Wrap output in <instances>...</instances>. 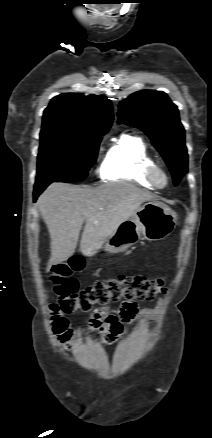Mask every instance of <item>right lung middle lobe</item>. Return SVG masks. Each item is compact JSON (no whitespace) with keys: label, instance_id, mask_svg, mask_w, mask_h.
<instances>
[{"label":"right lung middle lobe","instance_id":"1","mask_svg":"<svg viewBox=\"0 0 212 438\" xmlns=\"http://www.w3.org/2000/svg\"><path fill=\"white\" fill-rule=\"evenodd\" d=\"M102 135L40 133L35 184L85 179L96 161Z\"/></svg>","mask_w":212,"mask_h":438}]
</instances>
